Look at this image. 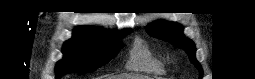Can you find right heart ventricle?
I'll return each mask as SVG.
<instances>
[{
    "label": "right heart ventricle",
    "instance_id": "obj_1",
    "mask_svg": "<svg viewBox=\"0 0 255 79\" xmlns=\"http://www.w3.org/2000/svg\"><path fill=\"white\" fill-rule=\"evenodd\" d=\"M126 68L131 71L162 74L165 72V62L148 45L137 39L129 52Z\"/></svg>",
    "mask_w": 255,
    "mask_h": 79
}]
</instances>
